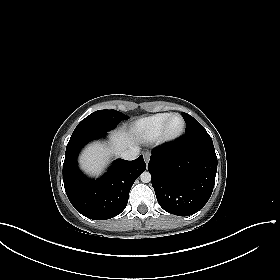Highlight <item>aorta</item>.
<instances>
[{
    "mask_svg": "<svg viewBox=\"0 0 280 280\" xmlns=\"http://www.w3.org/2000/svg\"><path fill=\"white\" fill-rule=\"evenodd\" d=\"M140 179L143 183H149L151 181V174L145 171L140 175Z\"/></svg>",
    "mask_w": 280,
    "mask_h": 280,
    "instance_id": "1",
    "label": "aorta"
}]
</instances>
